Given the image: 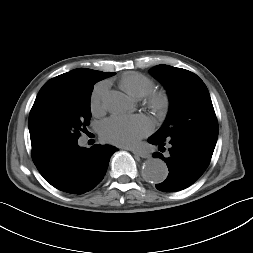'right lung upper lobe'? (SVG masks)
Returning a JSON list of instances; mask_svg holds the SVG:
<instances>
[{"instance_id":"1","label":"right lung upper lobe","mask_w":253,"mask_h":253,"mask_svg":"<svg viewBox=\"0 0 253 253\" xmlns=\"http://www.w3.org/2000/svg\"><path fill=\"white\" fill-rule=\"evenodd\" d=\"M114 72H101L96 71L92 69H86V68H79L72 70L70 72L61 74L55 78H52L48 81V83L56 82V81H62V80H102L104 78L110 77ZM32 157L33 161L36 166H39L47 161V159L50 157V155H43L39 153L36 149L32 148Z\"/></svg>"}]
</instances>
